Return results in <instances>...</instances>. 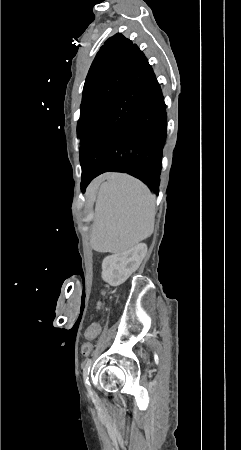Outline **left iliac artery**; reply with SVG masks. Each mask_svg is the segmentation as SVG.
Instances as JSON below:
<instances>
[{"label":"left iliac artery","instance_id":"left-iliac-artery-1","mask_svg":"<svg viewBox=\"0 0 241 450\" xmlns=\"http://www.w3.org/2000/svg\"><path fill=\"white\" fill-rule=\"evenodd\" d=\"M91 359H88L87 362L83 365V379L88 392L90 393V382H89V371H90Z\"/></svg>","mask_w":241,"mask_h":450}]
</instances>
